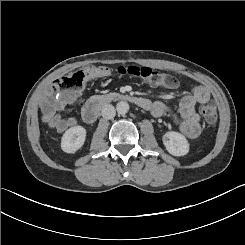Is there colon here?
Wrapping results in <instances>:
<instances>
[{"mask_svg": "<svg viewBox=\"0 0 245 245\" xmlns=\"http://www.w3.org/2000/svg\"><path fill=\"white\" fill-rule=\"evenodd\" d=\"M113 73L136 77L153 86L171 88L176 85V80L163 71L155 70L150 67L120 66L115 70L107 67L77 69L66 74L59 80H56L52 85V90L55 95H76L85 88L90 80L109 76ZM53 103L54 102L49 101V105H52ZM200 112L207 124L213 125L216 123L217 111L212 103L202 104Z\"/></svg>", "mask_w": 245, "mask_h": 245, "instance_id": "obj_1", "label": "colon"}]
</instances>
